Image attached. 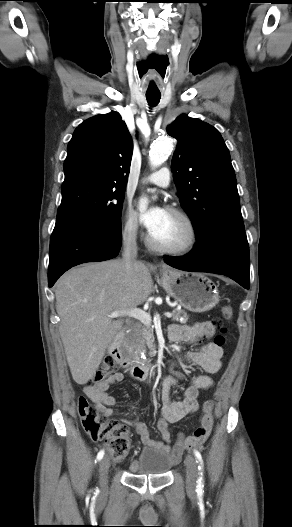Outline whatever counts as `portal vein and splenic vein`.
<instances>
[{
	"label": "portal vein and splenic vein",
	"instance_id": "obj_1",
	"mask_svg": "<svg viewBox=\"0 0 292 527\" xmlns=\"http://www.w3.org/2000/svg\"><path fill=\"white\" fill-rule=\"evenodd\" d=\"M110 318H117L121 316H128L134 319H137L141 321L145 325H151L152 318L151 315L141 309L138 308H132L127 311H114L110 315H108ZM165 316L167 318H171L173 316L172 313H165Z\"/></svg>",
	"mask_w": 292,
	"mask_h": 527
}]
</instances>
